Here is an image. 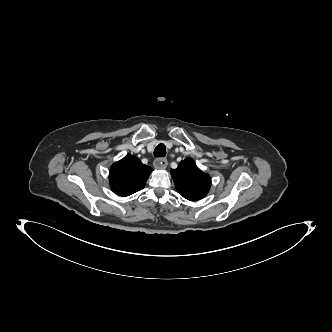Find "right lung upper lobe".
I'll return each instance as SVG.
<instances>
[{"label":"right lung upper lobe","mask_w":332,"mask_h":332,"mask_svg":"<svg viewBox=\"0 0 332 332\" xmlns=\"http://www.w3.org/2000/svg\"><path fill=\"white\" fill-rule=\"evenodd\" d=\"M152 170L150 166L142 164L137 157L127 155L111 166L110 187L119 196H129L144 188Z\"/></svg>","instance_id":"right-lung-upper-lobe-1"}]
</instances>
